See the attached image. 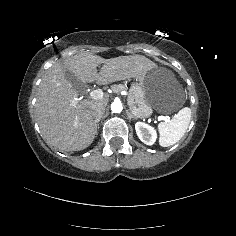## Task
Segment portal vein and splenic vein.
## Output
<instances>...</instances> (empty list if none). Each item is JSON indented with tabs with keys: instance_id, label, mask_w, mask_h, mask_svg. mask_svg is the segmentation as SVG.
<instances>
[{
	"instance_id": "obj_1",
	"label": "portal vein and splenic vein",
	"mask_w": 236,
	"mask_h": 236,
	"mask_svg": "<svg viewBox=\"0 0 236 236\" xmlns=\"http://www.w3.org/2000/svg\"><path fill=\"white\" fill-rule=\"evenodd\" d=\"M91 97L96 100L103 99L104 92L100 89H97V90L91 92ZM162 119H164L162 116H158L159 121H161ZM167 119H170V118H167ZM167 119L165 118V120H167Z\"/></svg>"
}]
</instances>
